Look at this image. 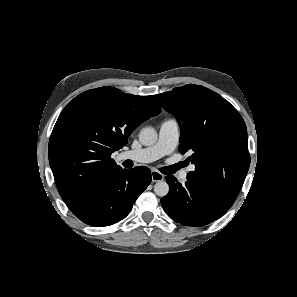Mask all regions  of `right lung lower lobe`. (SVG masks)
I'll return each mask as SVG.
<instances>
[{"label": "right lung lower lobe", "mask_w": 297, "mask_h": 297, "mask_svg": "<svg viewBox=\"0 0 297 297\" xmlns=\"http://www.w3.org/2000/svg\"><path fill=\"white\" fill-rule=\"evenodd\" d=\"M150 182L151 171L147 167L121 169L91 191L72 213L94 227L112 225L129 214Z\"/></svg>", "instance_id": "98d812e1"}]
</instances>
